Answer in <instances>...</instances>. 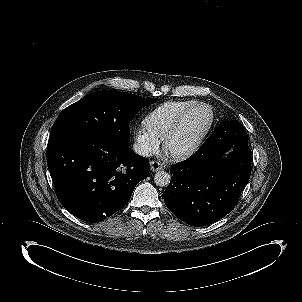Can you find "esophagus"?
<instances>
[{"mask_svg": "<svg viewBox=\"0 0 302 302\" xmlns=\"http://www.w3.org/2000/svg\"><path fill=\"white\" fill-rule=\"evenodd\" d=\"M150 166L152 172H156L164 168V165L161 162L155 160L150 162Z\"/></svg>", "mask_w": 302, "mask_h": 302, "instance_id": "obj_1", "label": "esophagus"}]
</instances>
